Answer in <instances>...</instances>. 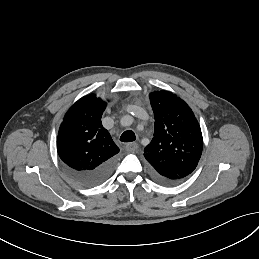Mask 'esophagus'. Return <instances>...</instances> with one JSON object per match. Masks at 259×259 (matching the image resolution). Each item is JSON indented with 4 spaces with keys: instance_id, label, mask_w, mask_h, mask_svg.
<instances>
[{
    "instance_id": "1",
    "label": "esophagus",
    "mask_w": 259,
    "mask_h": 259,
    "mask_svg": "<svg viewBox=\"0 0 259 259\" xmlns=\"http://www.w3.org/2000/svg\"><path fill=\"white\" fill-rule=\"evenodd\" d=\"M125 148L128 152H134L138 149V144L134 142L128 143Z\"/></svg>"
}]
</instances>
